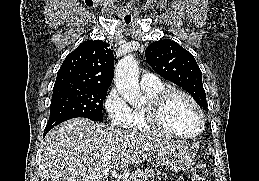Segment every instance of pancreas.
<instances>
[{
    "mask_svg": "<svg viewBox=\"0 0 259 181\" xmlns=\"http://www.w3.org/2000/svg\"><path fill=\"white\" fill-rule=\"evenodd\" d=\"M165 173L161 171H156L153 169H137L132 172L130 177L126 181H147L149 178H155L156 176H165Z\"/></svg>",
    "mask_w": 259,
    "mask_h": 181,
    "instance_id": "obj_1",
    "label": "pancreas"
}]
</instances>
